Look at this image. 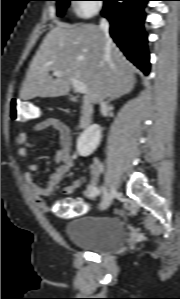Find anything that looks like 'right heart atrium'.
I'll return each instance as SVG.
<instances>
[{"instance_id": "right-heart-atrium-1", "label": "right heart atrium", "mask_w": 180, "mask_h": 299, "mask_svg": "<svg viewBox=\"0 0 180 299\" xmlns=\"http://www.w3.org/2000/svg\"><path fill=\"white\" fill-rule=\"evenodd\" d=\"M75 13L81 18H89L102 10L100 0H76Z\"/></svg>"}]
</instances>
